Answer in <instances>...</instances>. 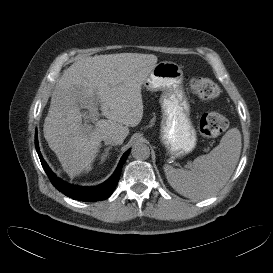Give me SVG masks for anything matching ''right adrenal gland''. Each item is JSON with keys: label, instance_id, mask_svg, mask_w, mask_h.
<instances>
[{"label": "right adrenal gland", "instance_id": "2a0ac1e0", "mask_svg": "<svg viewBox=\"0 0 273 273\" xmlns=\"http://www.w3.org/2000/svg\"><path fill=\"white\" fill-rule=\"evenodd\" d=\"M112 149V147H107L104 149V153L101 154V164L107 160L108 155H109V151Z\"/></svg>", "mask_w": 273, "mask_h": 273}]
</instances>
